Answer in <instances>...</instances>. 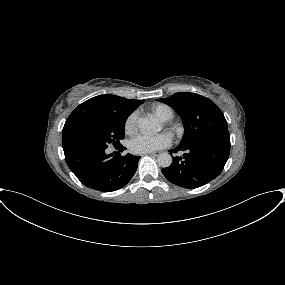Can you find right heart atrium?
Listing matches in <instances>:
<instances>
[{"label": "right heart atrium", "mask_w": 285, "mask_h": 285, "mask_svg": "<svg viewBox=\"0 0 285 285\" xmlns=\"http://www.w3.org/2000/svg\"><path fill=\"white\" fill-rule=\"evenodd\" d=\"M137 121H138V113L133 112L131 113L125 123V130L128 133H132L137 128Z\"/></svg>", "instance_id": "right-heart-atrium-1"}]
</instances>
